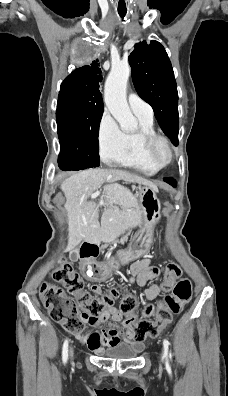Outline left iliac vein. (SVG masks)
Returning a JSON list of instances; mask_svg holds the SVG:
<instances>
[{"instance_id": "left-iliac-vein-1", "label": "left iliac vein", "mask_w": 228, "mask_h": 396, "mask_svg": "<svg viewBox=\"0 0 228 396\" xmlns=\"http://www.w3.org/2000/svg\"><path fill=\"white\" fill-rule=\"evenodd\" d=\"M164 359H165V355H164V353L162 351V360H164Z\"/></svg>"}]
</instances>
